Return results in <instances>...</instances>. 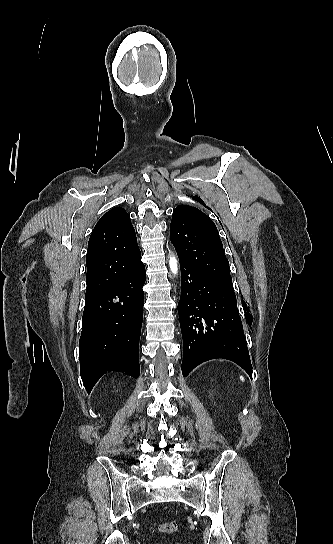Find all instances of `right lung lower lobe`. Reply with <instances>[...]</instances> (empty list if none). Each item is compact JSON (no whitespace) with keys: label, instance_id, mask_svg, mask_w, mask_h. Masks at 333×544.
I'll list each match as a JSON object with an SVG mask.
<instances>
[{"label":"right lung lower lobe","instance_id":"1","mask_svg":"<svg viewBox=\"0 0 333 544\" xmlns=\"http://www.w3.org/2000/svg\"><path fill=\"white\" fill-rule=\"evenodd\" d=\"M145 280L142 263L110 289L85 298L79 357L88 393L106 372L138 378Z\"/></svg>","mask_w":333,"mask_h":544}]
</instances>
